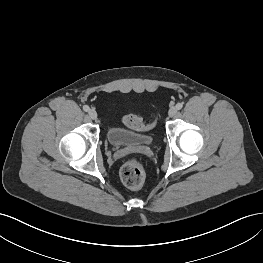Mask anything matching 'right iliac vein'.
<instances>
[{
	"instance_id": "right-iliac-vein-1",
	"label": "right iliac vein",
	"mask_w": 263,
	"mask_h": 263,
	"mask_svg": "<svg viewBox=\"0 0 263 263\" xmlns=\"http://www.w3.org/2000/svg\"><path fill=\"white\" fill-rule=\"evenodd\" d=\"M88 115L93 120L97 119V116H98L97 112L94 109H90L88 112Z\"/></svg>"
}]
</instances>
